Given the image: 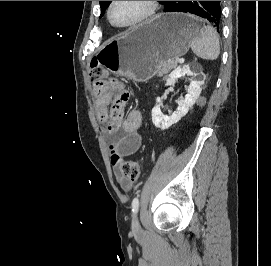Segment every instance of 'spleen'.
I'll return each instance as SVG.
<instances>
[{
    "instance_id": "spleen-1",
    "label": "spleen",
    "mask_w": 271,
    "mask_h": 266,
    "mask_svg": "<svg viewBox=\"0 0 271 266\" xmlns=\"http://www.w3.org/2000/svg\"><path fill=\"white\" fill-rule=\"evenodd\" d=\"M193 53L205 60H216L220 54L219 37L211 26H204L191 42Z\"/></svg>"
}]
</instances>
